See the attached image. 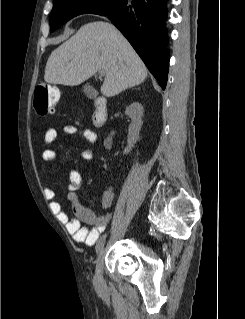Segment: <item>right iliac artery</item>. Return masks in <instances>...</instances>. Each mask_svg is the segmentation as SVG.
I'll return each mask as SVG.
<instances>
[{
  "instance_id": "82829eb1",
  "label": "right iliac artery",
  "mask_w": 245,
  "mask_h": 319,
  "mask_svg": "<svg viewBox=\"0 0 245 319\" xmlns=\"http://www.w3.org/2000/svg\"><path fill=\"white\" fill-rule=\"evenodd\" d=\"M100 251H101V245H97L96 246V252L99 253ZM96 283H97V281H96Z\"/></svg>"
}]
</instances>
